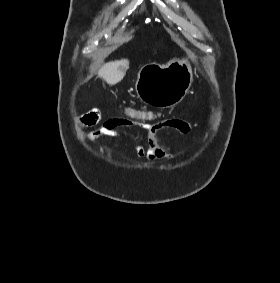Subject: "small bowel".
Returning a JSON list of instances; mask_svg holds the SVG:
<instances>
[{"label": "small bowel", "instance_id": "obj_1", "mask_svg": "<svg viewBox=\"0 0 280 283\" xmlns=\"http://www.w3.org/2000/svg\"><path fill=\"white\" fill-rule=\"evenodd\" d=\"M99 118V112L92 110L83 115L79 119V123L82 126L89 127L95 125L99 121ZM134 126H140L146 131L145 144L137 141H133V144L138 156L149 161L172 158V155L158 142L157 135L161 130L171 128L183 133H188L191 130V123L179 118H167L152 124L149 121L129 122L127 118H123L106 121L90 135V140L95 141L103 137L116 136L131 139L128 129Z\"/></svg>", "mask_w": 280, "mask_h": 283}]
</instances>
